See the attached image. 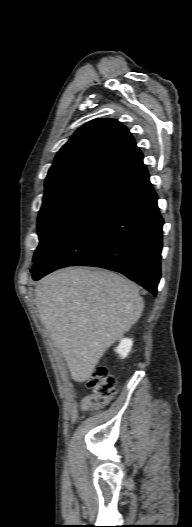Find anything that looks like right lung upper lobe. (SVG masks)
Returning <instances> with one entry per match:
<instances>
[{"label":"right lung upper lobe","instance_id":"1","mask_svg":"<svg viewBox=\"0 0 192 527\" xmlns=\"http://www.w3.org/2000/svg\"><path fill=\"white\" fill-rule=\"evenodd\" d=\"M141 154L128 129L110 118L79 128L60 149L45 180L46 190L83 178L111 180Z\"/></svg>","mask_w":192,"mask_h":527}]
</instances>
